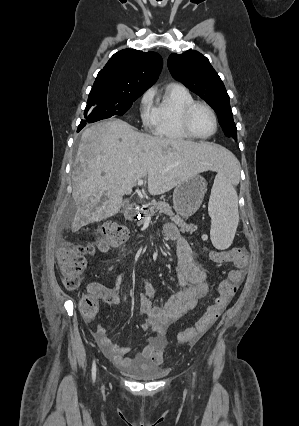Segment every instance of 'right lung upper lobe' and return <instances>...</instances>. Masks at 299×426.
<instances>
[{
    "instance_id": "1",
    "label": "right lung upper lobe",
    "mask_w": 299,
    "mask_h": 426,
    "mask_svg": "<svg viewBox=\"0 0 299 426\" xmlns=\"http://www.w3.org/2000/svg\"><path fill=\"white\" fill-rule=\"evenodd\" d=\"M163 61L156 52L124 49L114 54L94 82L126 93L146 91L158 79Z\"/></svg>"
}]
</instances>
